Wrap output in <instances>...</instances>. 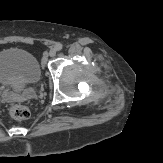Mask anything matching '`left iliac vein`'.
Returning a JSON list of instances; mask_svg holds the SVG:
<instances>
[{
	"label": "left iliac vein",
	"mask_w": 163,
	"mask_h": 163,
	"mask_svg": "<svg viewBox=\"0 0 163 163\" xmlns=\"http://www.w3.org/2000/svg\"><path fill=\"white\" fill-rule=\"evenodd\" d=\"M56 55V49L55 48H52L49 52V56L50 57H54ZM44 60L46 61L47 60V57L44 58Z\"/></svg>",
	"instance_id": "4c4485c4"
}]
</instances>
